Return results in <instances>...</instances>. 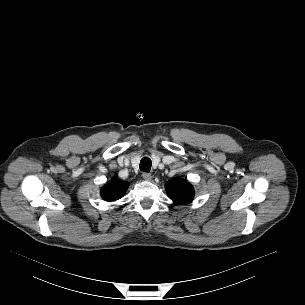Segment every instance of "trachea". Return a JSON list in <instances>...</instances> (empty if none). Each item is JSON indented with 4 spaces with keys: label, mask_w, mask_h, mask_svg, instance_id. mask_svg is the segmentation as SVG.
Segmentation results:
<instances>
[{
    "label": "trachea",
    "mask_w": 305,
    "mask_h": 305,
    "mask_svg": "<svg viewBox=\"0 0 305 305\" xmlns=\"http://www.w3.org/2000/svg\"><path fill=\"white\" fill-rule=\"evenodd\" d=\"M152 162L148 157H144L140 161V170L144 172H149L151 170Z\"/></svg>",
    "instance_id": "trachea-1"
}]
</instances>
